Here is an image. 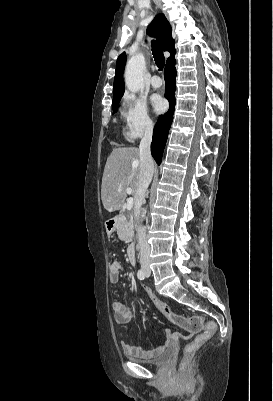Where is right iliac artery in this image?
Instances as JSON below:
<instances>
[{
	"instance_id": "right-iliac-artery-1",
	"label": "right iliac artery",
	"mask_w": 273,
	"mask_h": 401,
	"mask_svg": "<svg viewBox=\"0 0 273 401\" xmlns=\"http://www.w3.org/2000/svg\"><path fill=\"white\" fill-rule=\"evenodd\" d=\"M137 276H138V278L140 279V280H143L144 278H145V272L142 270V269H140L139 271H138V273H137Z\"/></svg>"
}]
</instances>
